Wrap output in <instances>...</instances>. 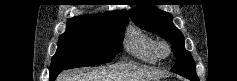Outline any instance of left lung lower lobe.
<instances>
[{
  "mask_svg": "<svg viewBox=\"0 0 237 81\" xmlns=\"http://www.w3.org/2000/svg\"><path fill=\"white\" fill-rule=\"evenodd\" d=\"M186 78L190 79L191 81H199V80H195V79L190 78V77H186Z\"/></svg>",
  "mask_w": 237,
  "mask_h": 81,
  "instance_id": "0a47b994",
  "label": "left lung lower lobe"
}]
</instances>
